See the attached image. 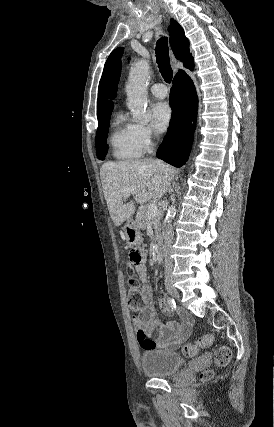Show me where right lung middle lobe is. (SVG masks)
<instances>
[{"label":"right lung middle lobe","mask_w":274,"mask_h":427,"mask_svg":"<svg viewBox=\"0 0 274 427\" xmlns=\"http://www.w3.org/2000/svg\"><path fill=\"white\" fill-rule=\"evenodd\" d=\"M112 110H113V107L97 113L99 125L96 133L95 144H96L97 157L98 159H101V160H104L108 150L106 139L108 136L109 119H110Z\"/></svg>","instance_id":"1"}]
</instances>
